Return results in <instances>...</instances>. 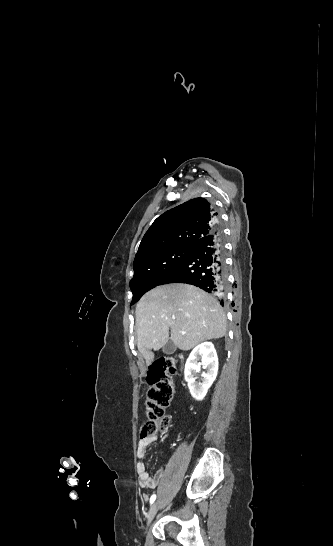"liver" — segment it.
Returning <instances> with one entry per match:
<instances>
[{
	"mask_svg": "<svg viewBox=\"0 0 333 546\" xmlns=\"http://www.w3.org/2000/svg\"><path fill=\"white\" fill-rule=\"evenodd\" d=\"M135 314L137 346L147 366L155 357L152 349L169 340L186 351L226 334L223 308L214 297L189 284L171 283L150 290L137 303Z\"/></svg>",
	"mask_w": 333,
	"mask_h": 546,
	"instance_id": "obj_1",
	"label": "liver"
}]
</instances>
